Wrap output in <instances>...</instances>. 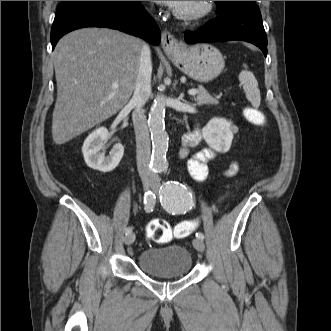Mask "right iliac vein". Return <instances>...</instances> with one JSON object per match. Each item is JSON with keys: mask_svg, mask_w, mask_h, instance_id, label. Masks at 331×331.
I'll use <instances>...</instances> for the list:
<instances>
[{"mask_svg": "<svg viewBox=\"0 0 331 331\" xmlns=\"http://www.w3.org/2000/svg\"><path fill=\"white\" fill-rule=\"evenodd\" d=\"M152 182L150 180H144L143 186L144 189L147 190L149 187H151ZM135 240V235L133 233H130L125 236L124 242L126 245H131Z\"/></svg>", "mask_w": 331, "mask_h": 331, "instance_id": "1", "label": "right iliac vein"}]
</instances>
